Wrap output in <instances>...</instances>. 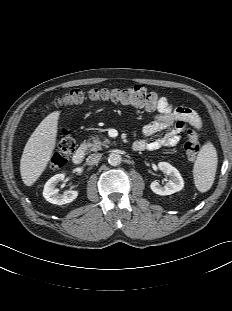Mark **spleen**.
Listing matches in <instances>:
<instances>
[{
  "label": "spleen",
  "mask_w": 232,
  "mask_h": 311,
  "mask_svg": "<svg viewBox=\"0 0 232 311\" xmlns=\"http://www.w3.org/2000/svg\"><path fill=\"white\" fill-rule=\"evenodd\" d=\"M217 163L216 149L212 143L208 142L200 149L193 166L194 183L200 192H206L212 187Z\"/></svg>",
  "instance_id": "obj_1"
}]
</instances>
